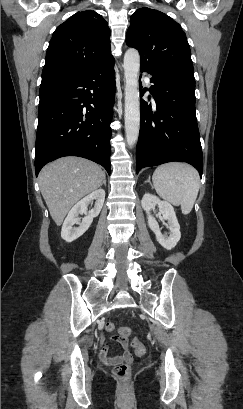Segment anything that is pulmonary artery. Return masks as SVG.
I'll return each mask as SVG.
<instances>
[{
  "instance_id": "pulmonary-artery-1",
  "label": "pulmonary artery",
  "mask_w": 243,
  "mask_h": 409,
  "mask_svg": "<svg viewBox=\"0 0 243 409\" xmlns=\"http://www.w3.org/2000/svg\"><path fill=\"white\" fill-rule=\"evenodd\" d=\"M143 81H144L146 84H149V82H150L149 77L145 76V77L143 78Z\"/></svg>"
}]
</instances>
